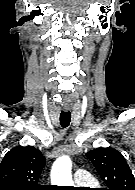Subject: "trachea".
<instances>
[{"mask_svg": "<svg viewBox=\"0 0 135 190\" xmlns=\"http://www.w3.org/2000/svg\"><path fill=\"white\" fill-rule=\"evenodd\" d=\"M71 121V113L70 111H62L60 114V124L63 128L69 126Z\"/></svg>", "mask_w": 135, "mask_h": 190, "instance_id": "obj_1", "label": "trachea"}]
</instances>
